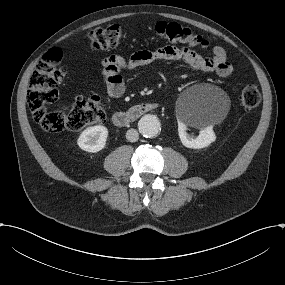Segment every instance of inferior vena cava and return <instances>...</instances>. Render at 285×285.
<instances>
[{
    "mask_svg": "<svg viewBox=\"0 0 285 285\" xmlns=\"http://www.w3.org/2000/svg\"><path fill=\"white\" fill-rule=\"evenodd\" d=\"M139 138L138 132L135 129H129L126 133V139L130 142H136Z\"/></svg>",
    "mask_w": 285,
    "mask_h": 285,
    "instance_id": "602c4592",
    "label": "inferior vena cava"
}]
</instances>
